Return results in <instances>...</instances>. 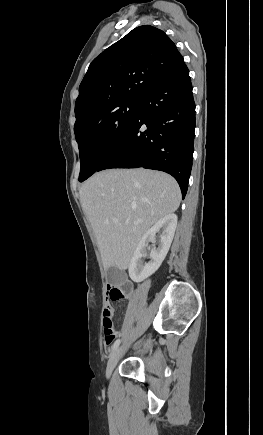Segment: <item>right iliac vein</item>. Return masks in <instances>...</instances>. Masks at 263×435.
I'll return each instance as SVG.
<instances>
[{
    "label": "right iliac vein",
    "instance_id": "1",
    "mask_svg": "<svg viewBox=\"0 0 263 435\" xmlns=\"http://www.w3.org/2000/svg\"><path fill=\"white\" fill-rule=\"evenodd\" d=\"M123 347L116 349L110 356L107 367H106V377L109 378L118 363L120 355L122 354Z\"/></svg>",
    "mask_w": 263,
    "mask_h": 435
}]
</instances>
